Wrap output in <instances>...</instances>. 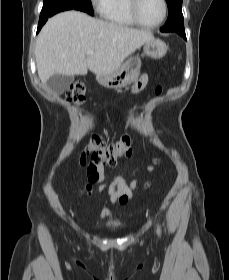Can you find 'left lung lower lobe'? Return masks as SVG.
<instances>
[{
  "mask_svg": "<svg viewBox=\"0 0 229 280\" xmlns=\"http://www.w3.org/2000/svg\"><path fill=\"white\" fill-rule=\"evenodd\" d=\"M179 35H181L186 40L185 30H178L176 31Z\"/></svg>",
  "mask_w": 229,
  "mask_h": 280,
  "instance_id": "0a47b994",
  "label": "left lung lower lobe"
}]
</instances>
